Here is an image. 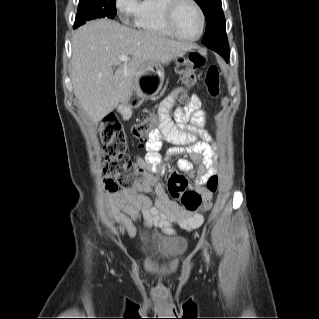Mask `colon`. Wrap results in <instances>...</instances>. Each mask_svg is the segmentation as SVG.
Masks as SVG:
<instances>
[{
	"label": "colon",
	"instance_id": "colon-1",
	"mask_svg": "<svg viewBox=\"0 0 319 319\" xmlns=\"http://www.w3.org/2000/svg\"><path fill=\"white\" fill-rule=\"evenodd\" d=\"M205 64L204 57L197 52H190L181 57L177 62V69L181 81L192 86L196 83L195 69ZM205 90L208 95L216 97L219 94L220 72L217 66L211 65L205 75ZM157 120L148 117L135 125L132 129L133 135L140 142L146 140L147 135L155 131ZM101 142L103 145L104 172L108 176L106 186L108 190L114 191L118 187H129L135 179L142 175L143 166L138 159H133L126 151L127 134L117 119H110L100 126ZM148 141V139H147ZM159 148V145L156 144ZM188 180L185 176L174 174L167 181L169 194L178 200L187 211H196L201 206V194L197 191L187 189ZM206 188L211 193L218 189L217 177L213 176L206 182Z\"/></svg>",
	"mask_w": 319,
	"mask_h": 319
}]
</instances>
